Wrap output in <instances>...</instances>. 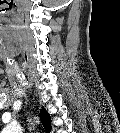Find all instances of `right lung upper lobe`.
<instances>
[{
	"instance_id": "cb5924a9",
	"label": "right lung upper lobe",
	"mask_w": 120,
	"mask_h": 133,
	"mask_svg": "<svg viewBox=\"0 0 120 133\" xmlns=\"http://www.w3.org/2000/svg\"><path fill=\"white\" fill-rule=\"evenodd\" d=\"M40 118L45 130L49 133L51 131V119L49 113L45 109L41 110Z\"/></svg>"
}]
</instances>
